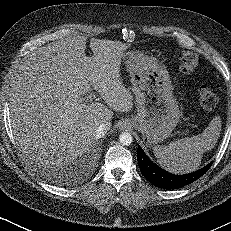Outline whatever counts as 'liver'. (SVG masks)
<instances>
[{"label":"liver","mask_w":231,"mask_h":231,"mask_svg":"<svg viewBox=\"0 0 231 231\" xmlns=\"http://www.w3.org/2000/svg\"><path fill=\"white\" fill-rule=\"evenodd\" d=\"M84 36L62 38L29 54L9 91L14 138L29 161L61 167L88 152L97 128L113 110L130 112L133 96L120 77L123 54L131 44ZM90 85L104 103H82Z\"/></svg>","instance_id":"1"}]
</instances>
